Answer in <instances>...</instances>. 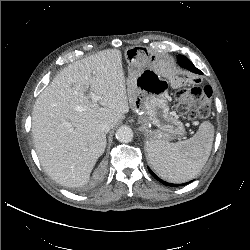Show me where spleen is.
<instances>
[{
	"label": "spleen",
	"mask_w": 250,
	"mask_h": 250,
	"mask_svg": "<svg viewBox=\"0 0 250 250\" xmlns=\"http://www.w3.org/2000/svg\"><path fill=\"white\" fill-rule=\"evenodd\" d=\"M214 139L213 125L205 121L196 134L185 141L170 143L158 138L147 144L150 164L163 179L181 183L194 178L208 160Z\"/></svg>",
	"instance_id": "obj_1"
}]
</instances>
